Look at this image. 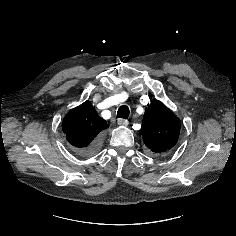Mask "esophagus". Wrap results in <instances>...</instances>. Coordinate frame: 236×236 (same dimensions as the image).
Here are the masks:
<instances>
[{"label":"esophagus","mask_w":236,"mask_h":236,"mask_svg":"<svg viewBox=\"0 0 236 236\" xmlns=\"http://www.w3.org/2000/svg\"><path fill=\"white\" fill-rule=\"evenodd\" d=\"M117 123L120 126H127L128 125V121L126 119H122V118L118 119Z\"/></svg>","instance_id":"34e87169"}]
</instances>
